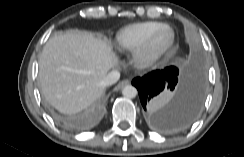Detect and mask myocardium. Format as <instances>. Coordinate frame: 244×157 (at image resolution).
Returning a JSON list of instances; mask_svg holds the SVG:
<instances>
[{"label": "myocardium", "instance_id": "myocardium-1", "mask_svg": "<svg viewBox=\"0 0 244 157\" xmlns=\"http://www.w3.org/2000/svg\"><path fill=\"white\" fill-rule=\"evenodd\" d=\"M164 32H168L169 35L164 40H161V36ZM173 38V32L167 26L156 30L150 38L136 50L134 62L139 66L151 64L172 43Z\"/></svg>", "mask_w": 244, "mask_h": 157}]
</instances>
